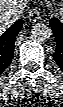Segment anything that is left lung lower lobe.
Here are the masks:
<instances>
[{
	"label": "left lung lower lobe",
	"mask_w": 63,
	"mask_h": 107,
	"mask_svg": "<svg viewBox=\"0 0 63 107\" xmlns=\"http://www.w3.org/2000/svg\"><path fill=\"white\" fill-rule=\"evenodd\" d=\"M50 26L56 40V50L53 57L57 65L63 70V23L57 18H52Z\"/></svg>",
	"instance_id": "0a47b994"
}]
</instances>
